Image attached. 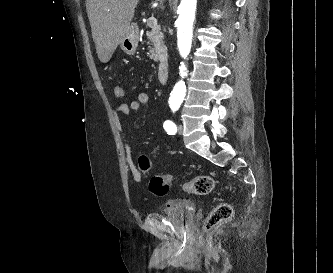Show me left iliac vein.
<instances>
[{
    "label": "left iliac vein",
    "mask_w": 333,
    "mask_h": 273,
    "mask_svg": "<svg viewBox=\"0 0 333 273\" xmlns=\"http://www.w3.org/2000/svg\"><path fill=\"white\" fill-rule=\"evenodd\" d=\"M177 131H178V133L179 134H183V131H184V127H183V125H178V127H177Z\"/></svg>",
    "instance_id": "obj_1"
}]
</instances>
